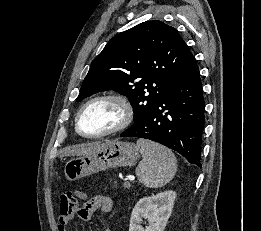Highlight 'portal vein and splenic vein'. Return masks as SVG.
I'll use <instances>...</instances> for the list:
<instances>
[{
	"label": "portal vein and splenic vein",
	"mask_w": 261,
	"mask_h": 231,
	"mask_svg": "<svg viewBox=\"0 0 261 231\" xmlns=\"http://www.w3.org/2000/svg\"><path fill=\"white\" fill-rule=\"evenodd\" d=\"M125 184H128V185H130V183H129V182H125Z\"/></svg>",
	"instance_id": "18ae733b"
}]
</instances>
